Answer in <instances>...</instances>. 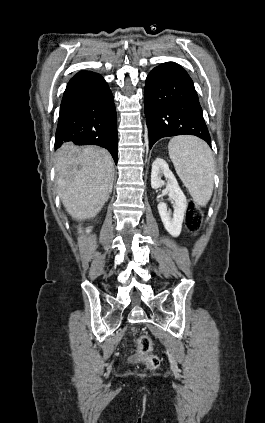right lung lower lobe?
Wrapping results in <instances>:
<instances>
[{
  "label": "right lung lower lobe",
  "instance_id": "98d812e1",
  "mask_svg": "<svg viewBox=\"0 0 265 423\" xmlns=\"http://www.w3.org/2000/svg\"><path fill=\"white\" fill-rule=\"evenodd\" d=\"M68 141L104 147L117 164L116 109L106 81L96 73L80 71L67 84L60 107L55 149Z\"/></svg>",
  "mask_w": 265,
  "mask_h": 423
}]
</instances>
